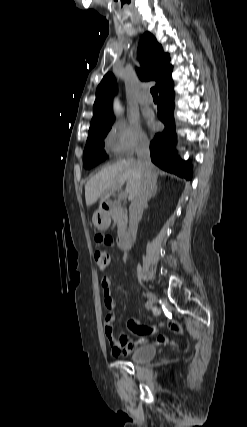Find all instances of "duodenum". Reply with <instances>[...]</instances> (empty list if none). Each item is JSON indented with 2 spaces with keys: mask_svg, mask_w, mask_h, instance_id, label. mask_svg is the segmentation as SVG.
Masks as SVG:
<instances>
[{
  "mask_svg": "<svg viewBox=\"0 0 247 427\" xmlns=\"http://www.w3.org/2000/svg\"><path fill=\"white\" fill-rule=\"evenodd\" d=\"M104 209H108L107 205H104L103 207ZM117 245L121 250H127L130 246V241L127 235L125 234H121L119 235L118 239H117Z\"/></svg>",
  "mask_w": 247,
  "mask_h": 427,
  "instance_id": "410a0bca",
  "label": "duodenum"
}]
</instances>
